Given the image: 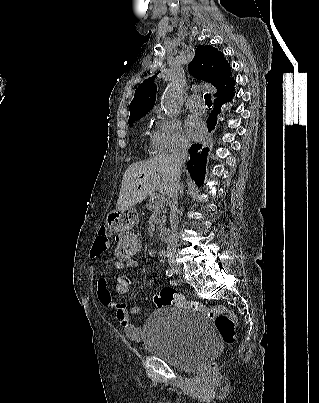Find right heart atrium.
<instances>
[{
  "mask_svg": "<svg viewBox=\"0 0 319 403\" xmlns=\"http://www.w3.org/2000/svg\"><path fill=\"white\" fill-rule=\"evenodd\" d=\"M157 122L152 135V145L161 153H171L186 149L188 141L178 118L166 116L157 109Z\"/></svg>",
  "mask_w": 319,
  "mask_h": 403,
  "instance_id": "1",
  "label": "right heart atrium"
}]
</instances>
